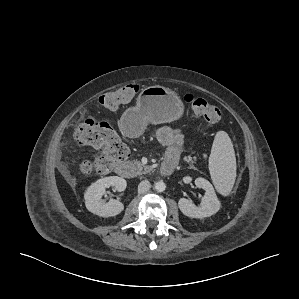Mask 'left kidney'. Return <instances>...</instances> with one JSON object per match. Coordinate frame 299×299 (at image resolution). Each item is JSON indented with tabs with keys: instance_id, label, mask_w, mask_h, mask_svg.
Returning <instances> with one entry per match:
<instances>
[{
	"instance_id": "1",
	"label": "left kidney",
	"mask_w": 299,
	"mask_h": 299,
	"mask_svg": "<svg viewBox=\"0 0 299 299\" xmlns=\"http://www.w3.org/2000/svg\"><path fill=\"white\" fill-rule=\"evenodd\" d=\"M191 177L183 178L184 183H190ZM195 185L205 190V196L202 198L199 206H196L191 200L181 198L178 202L181 212L190 218H205L217 213L221 207L212 184L204 178H196Z\"/></svg>"
}]
</instances>
